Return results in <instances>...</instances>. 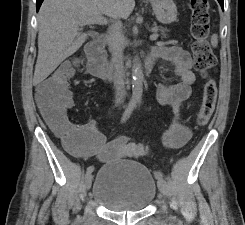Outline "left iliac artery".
Here are the masks:
<instances>
[{"label":"left iliac artery","mask_w":245,"mask_h":225,"mask_svg":"<svg viewBox=\"0 0 245 225\" xmlns=\"http://www.w3.org/2000/svg\"><path fill=\"white\" fill-rule=\"evenodd\" d=\"M155 177H156L158 180H160V179L163 178V174H162L161 172H157V173L155 174Z\"/></svg>","instance_id":"left-iliac-artery-1"}]
</instances>
